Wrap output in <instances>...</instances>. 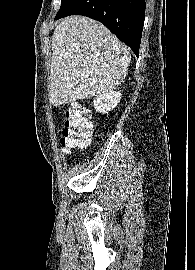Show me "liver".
I'll list each match as a JSON object with an SVG mask.
<instances>
[{"label": "liver", "instance_id": "obj_1", "mask_svg": "<svg viewBox=\"0 0 195 270\" xmlns=\"http://www.w3.org/2000/svg\"><path fill=\"white\" fill-rule=\"evenodd\" d=\"M49 100L54 106L110 93L125 79L130 51L101 23L62 19L52 37Z\"/></svg>", "mask_w": 195, "mask_h": 270}]
</instances>
